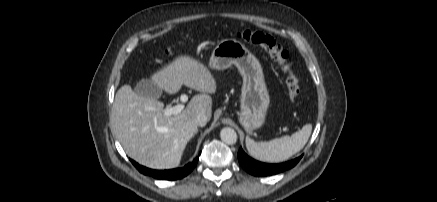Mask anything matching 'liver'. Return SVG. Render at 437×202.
Here are the masks:
<instances>
[{
    "mask_svg": "<svg viewBox=\"0 0 437 202\" xmlns=\"http://www.w3.org/2000/svg\"><path fill=\"white\" fill-rule=\"evenodd\" d=\"M152 81L168 94L182 85L201 92L192 97L177 115L166 116L164 104L136 94L130 85L115 95L112 119L117 137L126 154L139 164L153 169L179 165L187 143L198 131L199 113L210 119L216 80L210 70L193 57L180 55L151 75Z\"/></svg>",
    "mask_w": 437,
    "mask_h": 202,
    "instance_id": "obj_1",
    "label": "liver"
}]
</instances>
